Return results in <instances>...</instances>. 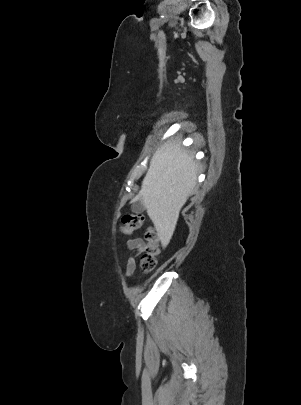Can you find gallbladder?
Returning <instances> with one entry per match:
<instances>
[{
  "label": "gallbladder",
  "mask_w": 301,
  "mask_h": 405,
  "mask_svg": "<svg viewBox=\"0 0 301 405\" xmlns=\"http://www.w3.org/2000/svg\"><path fill=\"white\" fill-rule=\"evenodd\" d=\"M131 210L134 213L140 214V213L144 212L145 206H144V204L142 203L141 200H137V201L132 203Z\"/></svg>",
  "instance_id": "obj_1"
}]
</instances>
